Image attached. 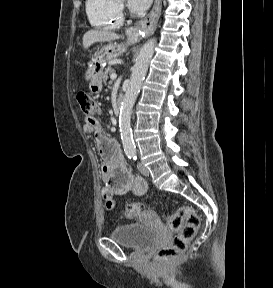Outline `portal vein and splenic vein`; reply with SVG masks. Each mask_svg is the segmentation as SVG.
Here are the masks:
<instances>
[{"instance_id":"18ae733b","label":"portal vein and splenic vein","mask_w":273,"mask_h":288,"mask_svg":"<svg viewBox=\"0 0 273 288\" xmlns=\"http://www.w3.org/2000/svg\"><path fill=\"white\" fill-rule=\"evenodd\" d=\"M117 78V75H116V73H112L111 75H110V79L113 81V80H115Z\"/></svg>"}]
</instances>
